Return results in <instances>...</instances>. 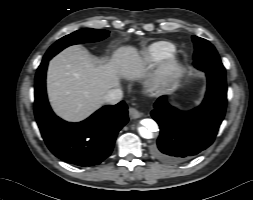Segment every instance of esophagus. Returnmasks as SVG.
Instances as JSON below:
<instances>
[{
	"instance_id": "34e87169",
	"label": "esophagus",
	"mask_w": 253,
	"mask_h": 200,
	"mask_svg": "<svg viewBox=\"0 0 253 200\" xmlns=\"http://www.w3.org/2000/svg\"><path fill=\"white\" fill-rule=\"evenodd\" d=\"M129 114L132 118H135V119L140 118L142 116V113L134 107L129 108Z\"/></svg>"
}]
</instances>
